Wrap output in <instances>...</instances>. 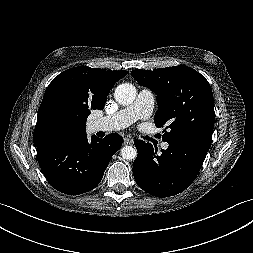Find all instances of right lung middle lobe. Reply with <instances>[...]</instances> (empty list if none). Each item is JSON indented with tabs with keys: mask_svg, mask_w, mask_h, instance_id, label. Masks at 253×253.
<instances>
[{
	"mask_svg": "<svg viewBox=\"0 0 253 253\" xmlns=\"http://www.w3.org/2000/svg\"><path fill=\"white\" fill-rule=\"evenodd\" d=\"M90 110L75 111L60 104H53L46 117L48 129L54 134H64L73 129L76 122L86 123Z\"/></svg>",
	"mask_w": 253,
	"mask_h": 253,
	"instance_id": "obj_1",
	"label": "right lung middle lobe"
}]
</instances>
